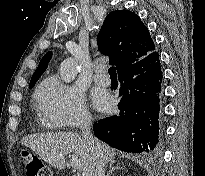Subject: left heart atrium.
<instances>
[{
    "label": "left heart atrium",
    "mask_w": 205,
    "mask_h": 176,
    "mask_svg": "<svg viewBox=\"0 0 205 176\" xmlns=\"http://www.w3.org/2000/svg\"><path fill=\"white\" fill-rule=\"evenodd\" d=\"M94 104L100 110H107L112 106L113 102L107 94L98 92L94 94Z\"/></svg>",
    "instance_id": "left-heart-atrium-1"
}]
</instances>
